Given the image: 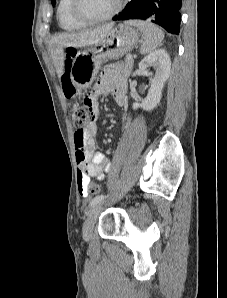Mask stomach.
<instances>
[{"mask_svg": "<svg viewBox=\"0 0 227 298\" xmlns=\"http://www.w3.org/2000/svg\"><path fill=\"white\" fill-rule=\"evenodd\" d=\"M139 32L126 23L112 28L108 35L95 45L79 51L74 57L68 74L78 91L89 87L101 64L108 59H117L132 51L139 42Z\"/></svg>", "mask_w": 227, "mask_h": 298, "instance_id": "1", "label": "stomach"}]
</instances>
